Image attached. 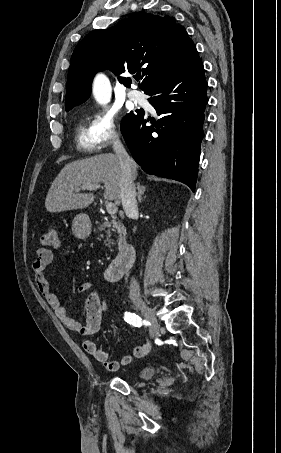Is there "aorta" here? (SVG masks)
Wrapping results in <instances>:
<instances>
[{"label":"aorta","mask_w":281,"mask_h":453,"mask_svg":"<svg viewBox=\"0 0 281 453\" xmlns=\"http://www.w3.org/2000/svg\"><path fill=\"white\" fill-rule=\"evenodd\" d=\"M93 95L95 100L105 105L110 102L112 88L109 79L102 73L97 74L93 82Z\"/></svg>","instance_id":"762f6f07"}]
</instances>
